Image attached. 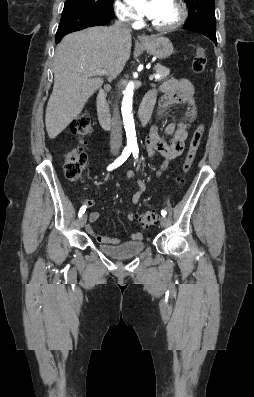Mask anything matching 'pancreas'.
I'll use <instances>...</instances> for the list:
<instances>
[{
  "label": "pancreas",
  "instance_id": "obj_1",
  "mask_svg": "<svg viewBox=\"0 0 254 397\" xmlns=\"http://www.w3.org/2000/svg\"><path fill=\"white\" fill-rule=\"evenodd\" d=\"M155 70L156 72L159 74V78L157 80H163L165 79L169 74H170V70L167 67H164L160 64H157L155 66Z\"/></svg>",
  "mask_w": 254,
  "mask_h": 397
}]
</instances>
